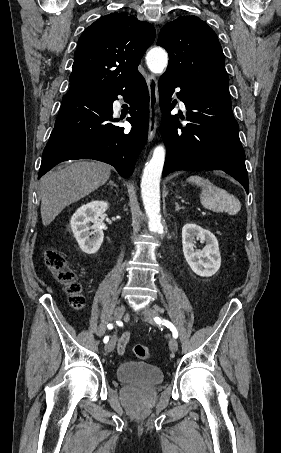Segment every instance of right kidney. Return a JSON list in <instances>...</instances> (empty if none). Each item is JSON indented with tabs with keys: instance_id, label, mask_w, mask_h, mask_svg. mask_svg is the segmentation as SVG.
Returning <instances> with one entry per match:
<instances>
[{
	"instance_id": "1",
	"label": "right kidney",
	"mask_w": 281,
	"mask_h": 453,
	"mask_svg": "<svg viewBox=\"0 0 281 453\" xmlns=\"http://www.w3.org/2000/svg\"><path fill=\"white\" fill-rule=\"evenodd\" d=\"M107 208L106 200H92V202L82 204L71 216L70 224L73 235L81 251L86 255L97 253L103 243V222L99 216H103Z\"/></svg>"
}]
</instances>
